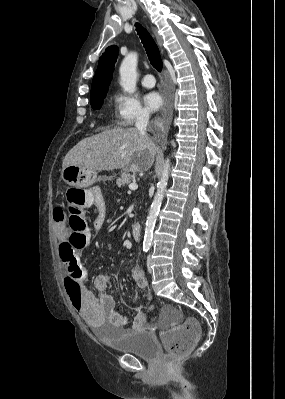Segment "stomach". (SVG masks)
<instances>
[{"mask_svg":"<svg viewBox=\"0 0 285 399\" xmlns=\"http://www.w3.org/2000/svg\"><path fill=\"white\" fill-rule=\"evenodd\" d=\"M61 177L67 185L76 188H86L97 181L96 174L77 165L63 167Z\"/></svg>","mask_w":285,"mask_h":399,"instance_id":"stomach-1","label":"stomach"}]
</instances>
